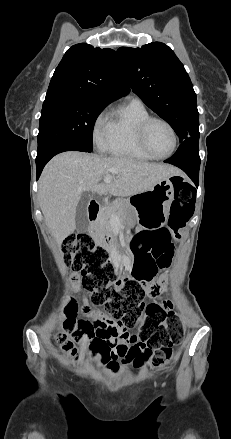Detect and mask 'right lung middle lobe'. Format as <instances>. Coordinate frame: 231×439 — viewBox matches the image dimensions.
Returning <instances> with one entry per match:
<instances>
[{
  "instance_id": "obj_1",
  "label": "right lung middle lobe",
  "mask_w": 231,
  "mask_h": 439,
  "mask_svg": "<svg viewBox=\"0 0 231 439\" xmlns=\"http://www.w3.org/2000/svg\"><path fill=\"white\" fill-rule=\"evenodd\" d=\"M106 104L65 100L43 104L37 156H43L60 143L77 145L85 152L93 150L92 133L98 115Z\"/></svg>"
}]
</instances>
